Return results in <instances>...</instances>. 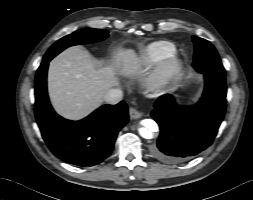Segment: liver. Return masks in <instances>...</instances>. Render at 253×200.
<instances>
[{"label": "liver", "instance_id": "obj_1", "mask_svg": "<svg viewBox=\"0 0 253 200\" xmlns=\"http://www.w3.org/2000/svg\"><path fill=\"white\" fill-rule=\"evenodd\" d=\"M120 62L126 75L142 72L143 62L133 49L120 50L116 63ZM117 85L115 66L98 67L80 46L64 50L49 65L51 103L58 114L71 120L87 116L101 105L105 93Z\"/></svg>", "mask_w": 253, "mask_h": 200}]
</instances>
